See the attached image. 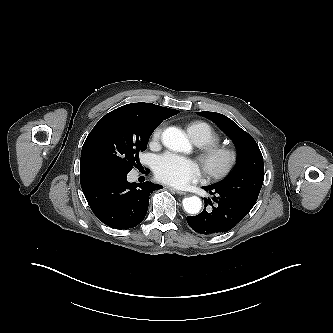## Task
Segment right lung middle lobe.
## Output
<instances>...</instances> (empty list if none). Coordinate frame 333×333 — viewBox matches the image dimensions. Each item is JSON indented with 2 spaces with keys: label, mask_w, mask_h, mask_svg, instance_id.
Here are the masks:
<instances>
[{
  "label": "right lung middle lobe",
  "mask_w": 333,
  "mask_h": 333,
  "mask_svg": "<svg viewBox=\"0 0 333 333\" xmlns=\"http://www.w3.org/2000/svg\"><path fill=\"white\" fill-rule=\"evenodd\" d=\"M161 122L108 113L92 129L84 142L80 176L99 172L128 173L139 162V152L147 147L152 132Z\"/></svg>",
  "instance_id": "obj_1"
}]
</instances>
